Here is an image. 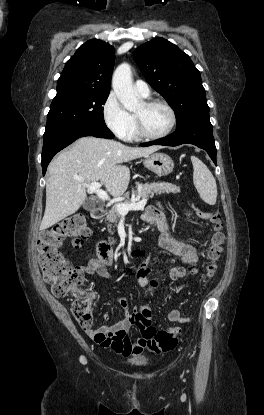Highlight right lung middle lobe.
Segmentation results:
<instances>
[{"label":"right lung middle lobe","mask_w":264,"mask_h":415,"mask_svg":"<svg viewBox=\"0 0 264 415\" xmlns=\"http://www.w3.org/2000/svg\"><path fill=\"white\" fill-rule=\"evenodd\" d=\"M109 93H65L56 95L47 115L45 135L81 125H105L103 107Z\"/></svg>","instance_id":"1"}]
</instances>
